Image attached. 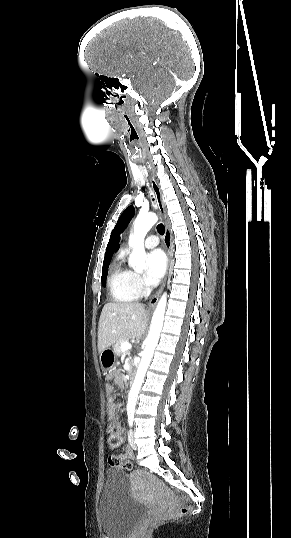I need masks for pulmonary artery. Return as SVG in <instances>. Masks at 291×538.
<instances>
[{
	"mask_svg": "<svg viewBox=\"0 0 291 538\" xmlns=\"http://www.w3.org/2000/svg\"><path fill=\"white\" fill-rule=\"evenodd\" d=\"M158 244H159V239L155 235L148 236L144 241V245H145L146 248H154Z\"/></svg>",
	"mask_w": 291,
	"mask_h": 538,
	"instance_id": "e3ab8cb5",
	"label": "pulmonary artery"
}]
</instances>
